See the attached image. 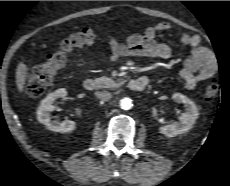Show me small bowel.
Here are the masks:
<instances>
[{
    "instance_id": "small-bowel-1",
    "label": "small bowel",
    "mask_w": 230,
    "mask_h": 186,
    "mask_svg": "<svg viewBox=\"0 0 230 186\" xmlns=\"http://www.w3.org/2000/svg\"><path fill=\"white\" fill-rule=\"evenodd\" d=\"M170 30H172L170 23L159 22L148 26L143 34H131L121 42L110 36L108 42L111 49V60L115 61L126 56L169 59L171 57L170 46L158 42L156 38L159 33ZM179 42L190 47L179 77L185 87L191 90L201 82L212 78L217 71L218 63L214 54L200 45L198 36L184 33L180 35Z\"/></svg>"
}]
</instances>
